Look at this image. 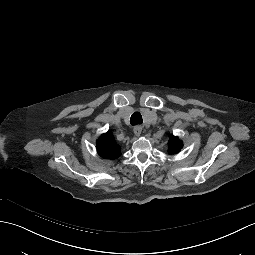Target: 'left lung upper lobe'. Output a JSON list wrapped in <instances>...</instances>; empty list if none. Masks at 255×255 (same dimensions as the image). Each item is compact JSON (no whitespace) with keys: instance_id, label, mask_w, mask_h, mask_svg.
I'll return each instance as SVG.
<instances>
[{"instance_id":"5c2ea615","label":"left lung upper lobe","mask_w":255,"mask_h":255,"mask_svg":"<svg viewBox=\"0 0 255 255\" xmlns=\"http://www.w3.org/2000/svg\"><path fill=\"white\" fill-rule=\"evenodd\" d=\"M182 142L178 139V137H175L173 135H170L169 139V146H168V152L170 154H176L182 149Z\"/></svg>"}]
</instances>
